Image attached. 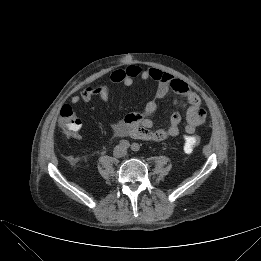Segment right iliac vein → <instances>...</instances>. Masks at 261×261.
<instances>
[{"label": "right iliac vein", "instance_id": "obj_1", "mask_svg": "<svg viewBox=\"0 0 261 261\" xmlns=\"http://www.w3.org/2000/svg\"><path fill=\"white\" fill-rule=\"evenodd\" d=\"M121 151H122V148L117 147L114 152H115V154H119Z\"/></svg>", "mask_w": 261, "mask_h": 261}]
</instances>
